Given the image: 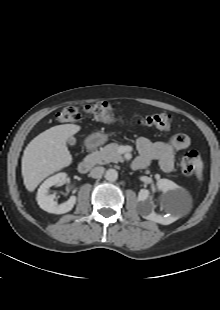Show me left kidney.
I'll return each instance as SVG.
<instances>
[{"mask_svg":"<svg viewBox=\"0 0 220 310\" xmlns=\"http://www.w3.org/2000/svg\"><path fill=\"white\" fill-rule=\"evenodd\" d=\"M157 187L159 190L166 194L163 203H166L176 192H181V188L176 183L168 179H160L157 182ZM149 194V191L146 189H141L138 194V201L140 202V213L142 217L163 225L172 223V216L163 217L161 215H157L154 212L155 205L149 198Z\"/></svg>","mask_w":220,"mask_h":310,"instance_id":"5707ae66","label":"left kidney"}]
</instances>
